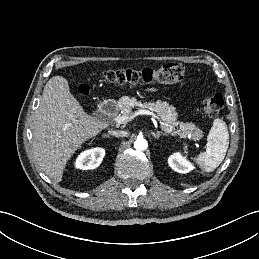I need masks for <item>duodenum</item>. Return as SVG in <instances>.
<instances>
[{"instance_id":"duodenum-1","label":"duodenum","mask_w":259,"mask_h":259,"mask_svg":"<svg viewBox=\"0 0 259 259\" xmlns=\"http://www.w3.org/2000/svg\"><path fill=\"white\" fill-rule=\"evenodd\" d=\"M98 110L100 114L105 117L112 116L116 111V104L114 101H111V100L106 101L99 104Z\"/></svg>"}]
</instances>
